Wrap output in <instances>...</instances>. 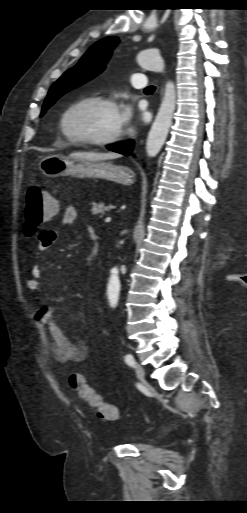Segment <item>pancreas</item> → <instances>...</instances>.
Listing matches in <instances>:
<instances>
[{"instance_id": "cf45deb5", "label": "pancreas", "mask_w": 247, "mask_h": 513, "mask_svg": "<svg viewBox=\"0 0 247 513\" xmlns=\"http://www.w3.org/2000/svg\"><path fill=\"white\" fill-rule=\"evenodd\" d=\"M115 206L112 204L105 205L104 203H93L91 212L92 214H102L104 215L106 212H109L111 209H114Z\"/></svg>"}]
</instances>
